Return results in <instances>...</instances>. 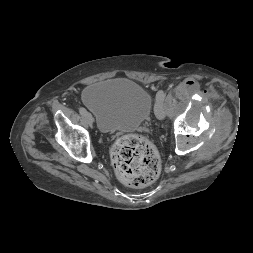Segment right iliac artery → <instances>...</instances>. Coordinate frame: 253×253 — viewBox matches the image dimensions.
Segmentation results:
<instances>
[{"instance_id":"1","label":"right iliac artery","mask_w":253,"mask_h":253,"mask_svg":"<svg viewBox=\"0 0 253 253\" xmlns=\"http://www.w3.org/2000/svg\"><path fill=\"white\" fill-rule=\"evenodd\" d=\"M86 112H87V111H86L85 108H83V107H80V108H79V113H80L81 115H84Z\"/></svg>"}]
</instances>
